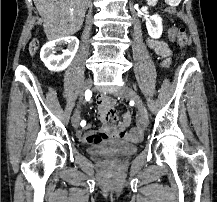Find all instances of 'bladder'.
<instances>
[{"label":"bladder","instance_id":"1","mask_svg":"<svg viewBox=\"0 0 217 202\" xmlns=\"http://www.w3.org/2000/svg\"><path fill=\"white\" fill-rule=\"evenodd\" d=\"M92 156H98L103 153H115L117 155H133L137 146L124 140H110L107 142L94 143L87 147Z\"/></svg>","mask_w":217,"mask_h":202}]
</instances>
